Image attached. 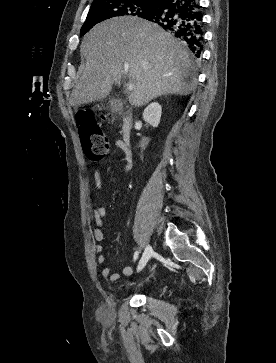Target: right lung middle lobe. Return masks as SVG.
Returning <instances> with one entry per match:
<instances>
[{"mask_svg": "<svg viewBox=\"0 0 276 363\" xmlns=\"http://www.w3.org/2000/svg\"><path fill=\"white\" fill-rule=\"evenodd\" d=\"M157 8L147 1L142 0H99L95 1L84 22L80 35L86 34L96 24L117 16L148 17Z\"/></svg>", "mask_w": 276, "mask_h": 363, "instance_id": "obj_1", "label": "right lung middle lobe"}]
</instances>
